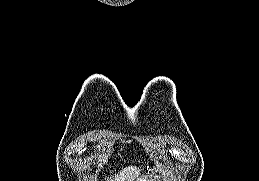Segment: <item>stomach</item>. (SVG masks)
Listing matches in <instances>:
<instances>
[{"label": "stomach", "instance_id": "0dacf381", "mask_svg": "<svg viewBox=\"0 0 259 181\" xmlns=\"http://www.w3.org/2000/svg\"><path fill=\"white\" fill-rule=\"evenodd\" d=\"M137 181H151V180L146 176H141L137 179Z\"/></svg>", "mask_w": 259, "mask_h": 181}]
</instances>
